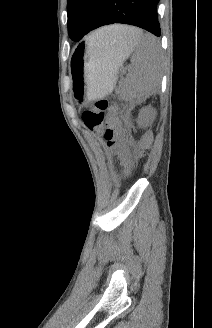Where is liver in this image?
Masks as SVG:
<instances>
[{"mask_svg": "<svg viewBox=\"0 0 212 328\" xmlns=\"http://www.w3.org/2000/svg\"><path fill=\"white\" fill-rule=\"evenodd\" d=\"M139 29L124 25H113L103 28L100 32L104 38L103 47H116L137 41L136 34Z\"/></svg>", "mask_w": 212, "mask_h": 328, "instance_id": "liver-1", "label": "liver"}]
</instances>
